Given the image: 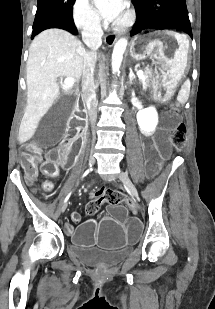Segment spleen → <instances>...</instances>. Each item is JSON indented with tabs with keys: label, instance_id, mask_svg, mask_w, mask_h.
Returning <instances> with one entry per match:
<instances>
[{
	"label": "spleen",
	"instance_id": "spleen-1",
	"mask_svg": "<svg viewBox=\"0 0 215 309\" xmlns=\"http://www.w3.org/2000/svg\"><path fill=\"white\" fill-rule=\"evenodd\" d=\"M185 84H188V80H186ZM177 100H179V102H181V104H184V102H186L187 98H184L182 92H179V94L177 96Z\"/></svg>",
	"mask_w": 215,
	"mask_h": 309
}]
</instances>
